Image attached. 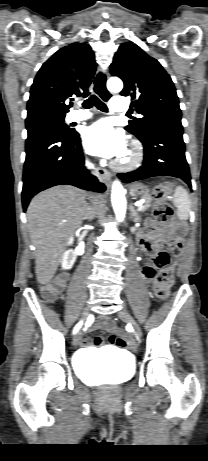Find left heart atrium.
Returning <instances> with one entry per match:
<instances>
[{"label": "left heart atrium", "instance_id": "39dd6f15", "mask_svg": "<svg viewBox=\"0 0 208 461\" xmlns=\"http://www.w3.org/2000/svg\"><path fill=\"white\" fill-rule=\"evenodd\" d=\"M86 150L105 158L120 157L125 152V138L108 121L101 120L89 126L83 135Z\"/></svg>", "mask_w": 208, "mask_h": 461}]
</instances>
